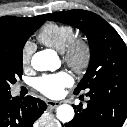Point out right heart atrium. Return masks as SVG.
<instances>
[{
	"instance_id": "right-heart-atrium-1",
	"label": "right heart atrium",
	"mask_w": 127,
	"mask_h": 127,
	"mask_svg": "<svg viewBox=\"0 0 127 127\" xmlns=\"http://www.w3.org/2000/svg\"><path fill=\"white\" fill-rule=\"evenodd\" d=\"M34 51H35L34 43L31 41L25 42L21 52V60L23 65L25 66L30 65Z\"/></svg>"
}]
</instances>
